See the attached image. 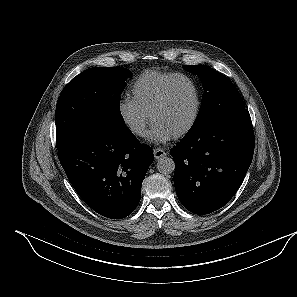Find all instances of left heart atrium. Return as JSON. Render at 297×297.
Here are the masks:
<instances>
[{
    "label": "left heart atrium",
    "mask_w": 297,
    "mask_h": 297,
    "mask_svg": "<svg viewBox=\"0 0 297 297\" xmlns=\"http://www.w3.org/2000/svg\"><path fill=\"white\" fill-rule=\"evenodd\" d=\"M171 137L172 135L168 131H166L159 125L152 123L151 129L148 133L149 140L155 143H164L170 140Z\"/></svg>",
    "instance_id": "39dd6f15"
}]
</instances>
